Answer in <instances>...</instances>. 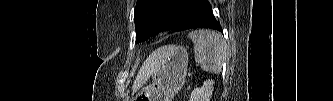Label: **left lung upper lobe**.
Here are the masks:
<instances>
[{
	"label": "left lung upper lobe",
	"instance_id": "left-lung-upper-lobe-1",
	"mask_svg": "<svg viewBox=\"0 0 333 101\" xmlns=\"http://www.w3.org/2000/svg\"><path fill=\"white\" fill-rule=\"evenodd\" d=\"M184 13L178 0H137L134 10L136 43L161 31H178Z\"/></svg>",
	"mask_w": 333,
	"mask_h": 101
}]
</instances>
